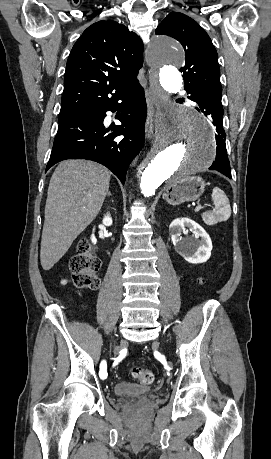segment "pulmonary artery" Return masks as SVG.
<instances>
[{"mask_svg":"<svg viewBox=\"0 0 271 459\" xmlns=\"http://www.w3.org/2000/svg\"><path fill=\"white\" fill-rule=\"evenodd\" d=\"M187 105L193 106L196 110H200L203 107V104L200 101H196L193 97L187 98L185 100ZM109 119V115L106 116L105 120Z\"/></svg>","mask_w":271,"mask_h":459,"instance_id":"e3ab8cb5","label":"pulmonary artery"}]
</instances>
